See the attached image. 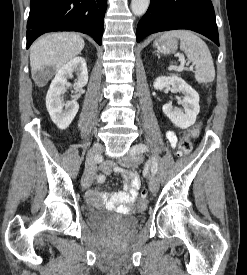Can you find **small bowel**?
Wrapping results in <instances>:
<instances>
[{"label":"small bowel","mask_w":247,"mask_h":275,"mask_svg":"<svg viewBox=\"0 0 247 275\" xmlns=\"http://www.w3.org/2000/svg\"><path fill=\"white\" fill-rule=\"evenodd\" d=\"M167 139L171 146H177V136L174 132L168 131L166 133ZM101 171L104 174H111L113 172L122 174L127 182L122 190L108 195L106 193L90 190L85 197L87 202L92 206L106 205L107 207H117L121 211H130L133 209L138 190L140 188V180L136 173L126 171L121 167L115 166L112 163L106 162L101 166Z\"/></svg>","instance_id":"obj_1"}]
</instances>
